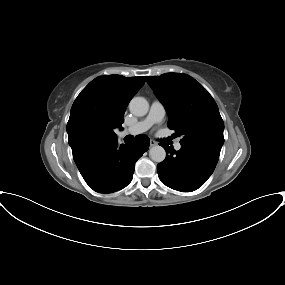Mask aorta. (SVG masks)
Masks as SVG:
<instances>
[{
	"mask_svg": "<svg viewBox=\"0 0 285 285\" xmlns=\"http://www.w3.org/2000/svg\"><path fill=\"white\" fill-rule=\"evenodd\" d=\"M129 110L135 116H144L149 110V103L144 97H134L129 103ZM149 156L154 162L160 163L165 159L166 151L162 146H153Z\"/></svg>",
	"mask_w": 285,
	"mask_h": 285,
	"instance_id": "1",
	"label": "aorta"
}]
</instances>
